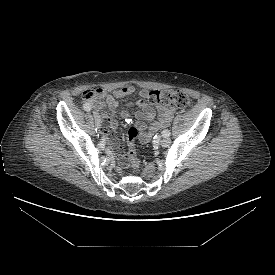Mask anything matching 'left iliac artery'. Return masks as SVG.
Segmentation results:
<instances>
[{"label": "left iliac artery", "instance_id": "44dca946", "mask_svg": "<svg viewBox=\"0 0 275 275\" xmlns=\"http://www.w3.org/2000/svg\"><path fill=\"white\" fill-rule=\"evenodd\" d=\"M170 131L169 130H164L163 132H162V135L164 136V137H169L170 136Z\"/></svg>", "mask_w": 275, "mask_h": 275}]
</instances>
